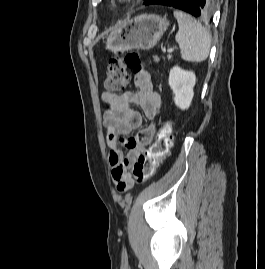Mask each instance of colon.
I'll use <instances>...</instances> for the list:
<instances>
[{
    "label": "colon",
    "instance_id": "5ec220e1",
    "mask_svg": "<svg viewBox=\"0 0 265 269\" xmlns=\"http://www.w3.org/2000/svg\"><path fill=\"white\" fill-rule=\"evenodd\" d=\"M143 60L135 51L119 52L108 63L105 89L109 92H119L125 89L128 80V69L135 72L141 71ZM172 141L171 126L163 124L158 130L154 142L140 154L132 166L131 180L140 184L151 178L161 161L167 155ZM120 191H125L120 189Z\"/></svg>",
    "mask_w": 265,
    "mask_h": 269
}]
</instances>
